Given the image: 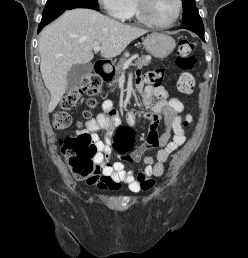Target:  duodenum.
I'll list each match as a JSON object with an SVG mask.
<instances>
[{"instance_id": "410a0bca", "label": "duodenum", "mask_w": 248, "mask_h": 258, "mask_svg": "<svg viewBox=\"0 0 248 258\" xmlns=\"http://www.w3.org/2000/svg\"><path fill=\"white\" fill-rule=\"evenodd\" d=\"M95 73L103 81H109L112 78V71L109 64L103 60L95 62Z\"/></svg>"}]
</instances>
